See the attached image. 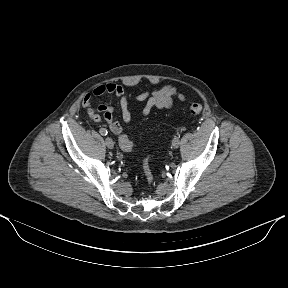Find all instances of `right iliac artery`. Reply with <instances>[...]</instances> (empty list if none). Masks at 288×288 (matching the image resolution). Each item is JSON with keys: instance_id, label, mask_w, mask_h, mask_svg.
<instances>
[{"instance_id": "right-iliac-artery-1", "label": "right iliac artery", "mask_w": 288, "mask_h": 288, "mask_svg": "<svg viewBox=\"0 0 288 288\" xmlns=\"http://www.w3.org/2000/svg\"><path fill=\"white\" fill-rule=\"evenodd\" d=\"M99 132L103 136H106L108 134V131L105 128H101Z\"/></svg>"}]
</instances>
